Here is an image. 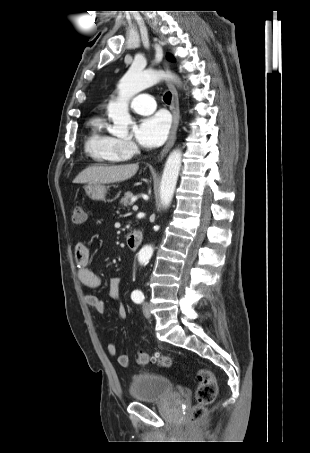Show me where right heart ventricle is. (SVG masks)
Listing matches in <instances>:
<instances>
[{"mask_svg":"<svg viewBox=\"0 0 310 453\" xmlns=\"http://www.w3.org/2000/svg\"><path fill=\"white\" fill-rule=\"evenodd\" d=\"M85 151L94 161L104 164L120 163L128 158L120 146V140L107 131L101 116H94L89 121Z\"/></svg>","mask_w":310,"mask_h":453,"instance_id":"e07e8e85","label":"right heart ventricle"}]
</instances>
